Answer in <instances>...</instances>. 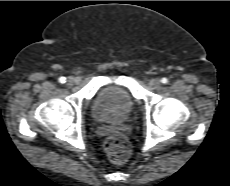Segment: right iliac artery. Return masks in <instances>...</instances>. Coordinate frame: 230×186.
<instances>
[{"label":"right iliac artery","mask_w":230,"mask_h":186,"mask_svg":"<svg viewBox=\"0 0 230 186\" xmlns=\"http://www.w3.org/2000/svg\"><path fill=\"white\" fill-rule=\"evenodd\" d=\"M59 82L60 83H65L66 82V78L65 77H60L59 78Z\"/></svg>","instance_id":"1"}]
</instances>
